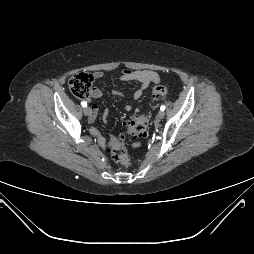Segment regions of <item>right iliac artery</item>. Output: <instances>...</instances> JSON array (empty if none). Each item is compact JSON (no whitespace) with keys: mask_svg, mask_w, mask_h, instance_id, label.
<instances>
[{"mask_svg":"<svg viewBox=\"0 0 254 254\" xmlns=\"http://www.w3.org/2000/svg\"><path fill=\"white\" fill-rule=\"evenodd\" d=\"M82 107H87V103L85 101L81 102Z\"/></svg>","mask_w":254,"mask_h":254,"instance_id":"obj_1","label":"right iliac artery"}]
</instances>
